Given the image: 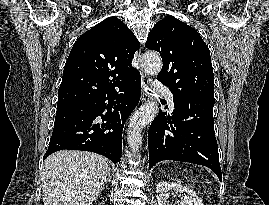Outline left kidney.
Segmentation results:
<instances>
[{
	"label": "left kidney",
	"instance_id": "obj_1",
	"mask_svg": "<svg viewBox=\"0 0 269 205\" xmlns=\"http://www.w3.org/2000/svg\"><path fill=\"white\" fill-rule=\"evenodd\" d=\"M179 194L181 197L178 205H203L197 194L186 186L175 182H160L156 188V198L159 205H171L170 195Z\"/></svg>",
	"mask_w": 269,
	"mask_h": 205
}]
</instances>
